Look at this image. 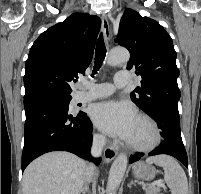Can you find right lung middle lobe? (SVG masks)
Returning <instances> with one entry per match:
<instances>
[{"mask_svg":"<svg viewBox=\"0 0 201 194\" xmlns=\"http://www.w3.org/2000/svg\"><path fill=\"white\" fill-rule=\"evenodd\" d=\"M60 98H62L63 100H65L66 102H70V100L72 99V97L70 95H57Z\"/></svg>","mask_w":201,"mask_h":194,"instance_id":"1","label":"right lung middle lobe"}]
</instances>
